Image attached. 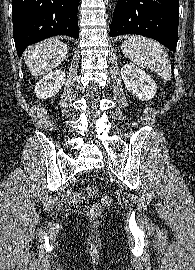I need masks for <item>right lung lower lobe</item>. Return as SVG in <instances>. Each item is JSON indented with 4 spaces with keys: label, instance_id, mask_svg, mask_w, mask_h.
I'll use <instances>...</instances> for the list:
<instances>
[{
    "label": "right lung lower lobe",
    "instance_id": "98d812e1",
    "mask_svg": "<svg viewBox=\"0 0 195 270\" xmlns=\"http://www.w3.org/2000/svg\"><path fill=\"white\" fill-rule=\"evenodd\" d=\"M78 4L79 0H13V37L18 56L27 46L52 36L78 39Z\"/></svg>",
    "mask_w": 195,
    "mask_h": 270
}]
</instances>
